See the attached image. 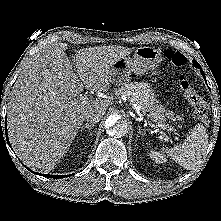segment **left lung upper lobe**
<instances>
[{"label": "left lung upper lobe", "mask_w": 221, "mask_h": 221, "mask_svg": "<svg viewBox=\"0 0 221 221\" xmlns=\"http://www.w3.org/2000/svg\"><path fill=\"white\" fill-rule=\"evenodd\" d=\"M193 63H194V66H195V67H197V68L200 67V65H199V63H198L197 61H194Z\"/></svg>", "instance_id": "1"}]
</instances>
